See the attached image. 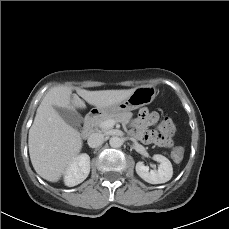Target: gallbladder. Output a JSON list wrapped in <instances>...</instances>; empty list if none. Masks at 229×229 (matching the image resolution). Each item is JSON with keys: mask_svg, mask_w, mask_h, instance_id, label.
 Wrapping results in <instances>:
<instances>
[{"mask_svg": "<svg viewBox=\"0 0 229 229\" xmlns=\"http://www.w3.org/2000/svg\"><path fill=\"white\" fill-rule=\"evenodd\" d=\"M55 109L68 125L72 127L80 126L82 117L76 111L59 107H55Z\"/></svg>", "mask_w": 229, "mask_h": 229, "instance_id": "1", "label": "gallbladder"}]
</instances>
